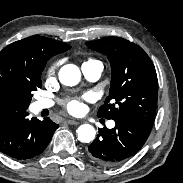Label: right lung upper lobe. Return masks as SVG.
<instances>
[{
  "label": "right lung upper lobe",
  "mask_w": 183,
  "mask_h": 183,
  "mask_svg": "<svg viewBox=\"0 0 183 183\" xmlns=\"http://www.w3.org/2000/svg\"><path fill=\"white\" fill-rule=\"evenodd\" d=\"M70 48L60 41L32 36L0 52V123L28 108L21 97L23 86L41 75L48 59Z\"/></svg>",
  "instance_id": "cb5924a9"
}]
</instances>
